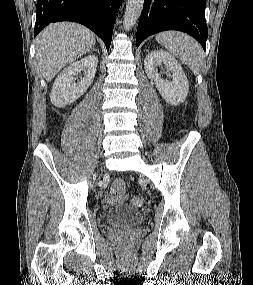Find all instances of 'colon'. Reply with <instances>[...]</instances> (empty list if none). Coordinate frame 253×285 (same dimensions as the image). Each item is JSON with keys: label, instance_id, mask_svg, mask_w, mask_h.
I'll use <instances>...</instances> for the list:
<instances>
[{"label": "colon", "instance_id": "colon-1", "mask_svg": "<svg viewBox=\"0 0 253 285\" xmlns=\"http://www.w3.org/2000/svg\"><path fill=\"white\" fill-rule=\"evenodd\" d=\"M145 202V199L144 197L142 196H134L132 199H131V203L132 205H134L135 207H140L144 204Z\"/></svg>", "mask_w": 253, "mask_h": 285}]
</instances>
